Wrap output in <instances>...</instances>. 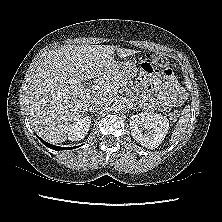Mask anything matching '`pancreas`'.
<instances>
[{
  "label": "pancreas",
  "mask_w": 222,
  "mask_h": 222,
  "mask_svg": "<svg viewBox=\"0 0 222 222\" xmlns=\"http://www.w3.org/2000/svg\"><path fill=\"white\" fill-rule=\"evenodd\" d=\"M123 83H124V78L119 74H112L105 81V84H115L118 86H121Z\"/></svg>",
  "instance_id": "1"
}]
</instances>
